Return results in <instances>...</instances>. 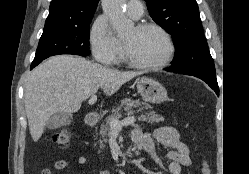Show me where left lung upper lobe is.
Wrapping results in <instances>:
<instances>
[{
    "label": "left lung upper lobe",
    "mask_w": 249,
    "mask_h": 174,
    "mask_svg": "<svg viewBox=\"0 0 249 174\" xmlns=\"http://www.w3.org/2000/svg\"><path fill=\"white\" fill-rule=\"evenodd\" d=\"M152 19L172 36L177 71H215L195 0H146Z\"/></svg>",
    "instance_id": "1"
}]
</instances>
